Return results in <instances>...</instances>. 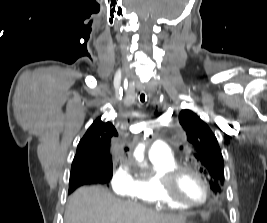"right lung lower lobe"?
<instances>
[{"label":"right lung lower lobe","instance_id":"obj_1","mask_svg":"<svg viewBox=\"0 0 267 223\" xmlns=\"http://www.w3.org/2000/svg\"><path fill=\"white\" fill-rule=\"evenodd\" d=\"M111 178L103 174L78 173L70 176L69 193L74 191L77 187L85 184L100 183L108 184Z\"/></svg>","mask_w":267,"mask_h":223}]
</instances>
